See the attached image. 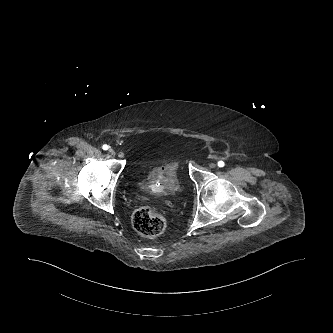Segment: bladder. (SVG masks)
Wrapping results in <instances>:
<instances>
[{
    "instance_id": "31cf9c89",
    "label": "bladder",
    "mask_w": 333,
    "mask_h": 333,
    "mask_svg": "<svg viewBox=\"0 0 333 333\" xmlns=\"http://www.w3.org/2000/svg\"><path fill=\"white\" fill-rule=\"evenodd\" d=\"M141 189L157 194L172 195L179 191L180 181L173 167L167 165L153 166L137 181Z\"/></svg>"
}]
</instances>
